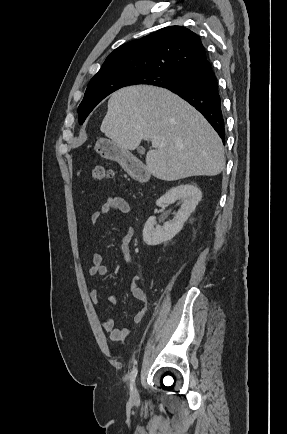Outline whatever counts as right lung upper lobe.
I'll return each instance as SVG.
<instances>
[{
    "label": "right lung upper lobe",
    "mask_w": 287,
    "mask_h": 434,
    "mask_svg": "<svg viewBox=\"0 0 287 434\" xmlns=\"http://www.w3.org/2000/svg\"><path fill=\"white\" fill-rule=\"evenodd\" d=\"M206 59L196 33L183 26H169L115 49L91 81L148 72L181 75Z\"/></svg>",
    "instance_id": "cb5924a9"
}]
</instances>
